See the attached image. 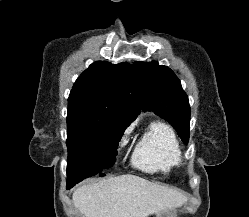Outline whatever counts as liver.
<instances>
[{
    "mask_svg": "<svg viewBox=\"0 0 249 217\" xmlns=\"http://www.w3.org/2000/svg\"><path fill=\"white\" fill-rule=\"evenodd\" d=\"M74 206L84 217H148L181 206L180 192L135 175H121L76 188Z\"/></svg>",
    "mask_w": 249,
    "mask_h": 217,
    "instance_id": "liver-1",
    "label": "liver"
}]
</instances>
